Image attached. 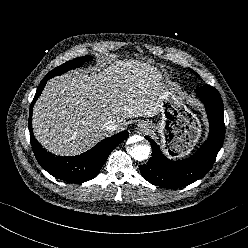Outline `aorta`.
Masks as SVG:
<instances>
[{
    "mask_svg": "<svg viewBox=\"0 0 248 248\" xmlns=\"http://www.w3.org/2000/svg\"><path fill=\"white\" fill-rule=\"evenodd\" d=\"M133 141H139L138 136H134L131 138ZM128 153L131 157L138 161H143L149 158L151 147L149 145L135 144L127 148Z\"/></svg>",
    "mask_w": 248,
    "mask_h": 248,
    "instance_id": "aorta-1",
    "label": "aorta"
}]
</instances>
